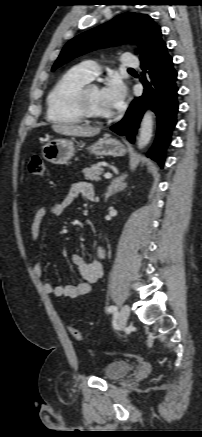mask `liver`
<instances>
[{
  "label": "liver",
  "mask_w": 202,
  "mask_h": 437,
  "mask_svg": "<svg viewBox=\"0 0 202 437\" xmlns=\"http://www.w3.org/2000/svg\"><path fill=\"white\" fill-rule=\"evenodd\" d=\"M52 129L58 134L77 137H92L100 133V128L71 124H53Z\"/></svg>",
  "instance_id": "1"
}]
</instances>
